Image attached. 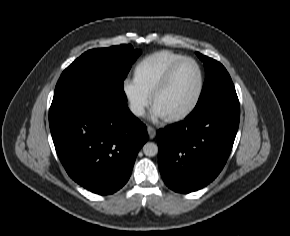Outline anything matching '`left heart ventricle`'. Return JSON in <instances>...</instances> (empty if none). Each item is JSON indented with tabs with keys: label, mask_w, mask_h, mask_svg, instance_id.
<instances>
[{
	"label": "left heart ventricle",
	"mask_w": 290,
	"mask_h": 236,
	"mask_svg": "<svg viewBox=\"0 0 290 236\" xmlns=\"http://www.w3.org/2000/svg\"><path fill=\"white\" fill-rule=\"evenodd\" d=\"M197 88V73L192 64L182 65L169 86L156 98L155 108L161 114L183 110L192 100Z\"/></svg>",
	"instance_id": "left-heart-ventricle-1"
}]
</instances>
